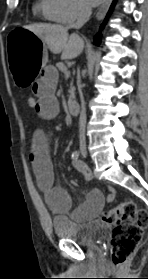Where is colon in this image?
Returning <instances> with one entry per match:
<instances>
[{"label": "colon", "mask_w": 148, "mask_h": 279, "mask_svg": "<svg viewBox=\"0 0 148 279\" xmlns=\"http://www.w3.org/2000/svg\"><path fill=\"white\" fill-rule=\"evenodd\" d=\"M27 106L36 109L37 98H27ZM102 220L115 225L110 237L111 260L115 266L124 264L136 251L142 241L144 227L148 224V212L138 209L131 199L121 201L105 211Z\"/></svg>", "instance_id": "1"}]
</instances>
